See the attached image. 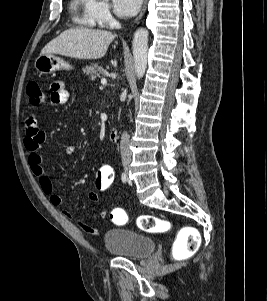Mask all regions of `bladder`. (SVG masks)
<instances>
[{
  "label": "bladder",
  "mask_w": 267,
  "mask_h": 301,
  "mask_svg": "<svg viewBox=\"0 0 267 301\" xmlns=\"http://www.w3.org/2000/svg\"><path fill=\"white\" fill-rule=\"evenodd\" d=\"M103 244L111 253L129 259L151 255L156 248L151 238L122 228L108 229L103 236Z\"/></svg>",
  "instance_id": "bladder-1"
}]
</instances>
